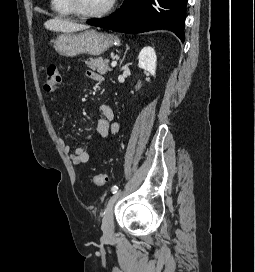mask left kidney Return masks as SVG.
<instances>
[{
  "instance_id": "left-kidney-1",
  "label": "left kidney",
  "mask_w": 255,
  "mask_h": 272,
  "mask_svg": "<svg viewBox=\"0 0 255 272\" xmlns=\"http://www.w3.org/2000/svg\"><path fill=\"white\" fill-rule=\"evenodd\" d=\"M139 62L138 66L145 71H148L152 76H155L156 73V53L152 47H144L138 56Z\"/></svg>"
}]
</instances>
